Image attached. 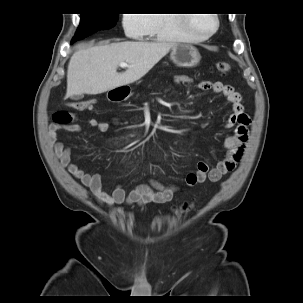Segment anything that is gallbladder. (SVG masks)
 Returning a JSON list of instances; mask_svg holds the SVG:
<instances>
[{
    "label": "gallbladder",
    "mask_w": 303,
    "mask_h": 303,
    "mask_svg": "<svg viewBox=\"0 0 303 303\" xmlns=\"http://www.w3.org/2000/svg\"><path fill=\"white\" fill-rule=\"evenodd\" d=\"M79 98H80L79 96H73V98H72V99L77 100V99H79Z\"/></svg>",
    "instance_id": "1"
}]
</instances>
